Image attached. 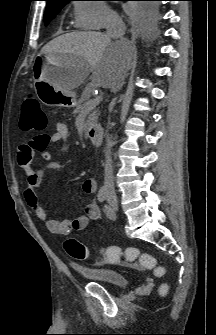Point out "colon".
I'll return each mask as SVG.
<instances>
[{"label": "colon", "instance_id": "colon-1", "mask_svg": "<svg viewBox=\"0 0 216 335\" xmlns=\"http://www.w3.org/2000/svg\"><path fill=\"white\" fill-rule=\"evenodd\" d=\"M20 127L25 132H42L47 127V117L42 110L39 101L34 96H28L21 111ZM45 135H39L32 142L35 149L44 147ZM64 248L69 256L76 260H86L90 253L88 248L75 238H68L64 242ZM101 260L104 263H136L140 268L152 270L157 277L165 273L164 267L157 264L154 256L148 253H141L137 248L121 249L117 246H110L101 251ZM168 286H159V293L166 294Z\"/></svg>", "mask_w": 216, "mask_h": 335}]
</instances>
